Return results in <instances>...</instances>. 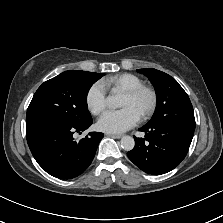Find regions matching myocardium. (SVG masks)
Segmentation results:
<instances>
[{
    "label": "myocardium",
    "mask_w": 223,
    "mask_h": 223,
    "mask_svg": "<svg viewBox=\"0 0 223 223\" xmlns=\"http://www.w3.org/2000/svg\"><path fill=\"white\" fill-rule=\"evenodd\" d=\"M124 95H126L129 98L135 99L142 95H147L149 97V105L148 107L141 113V118H146L150 115H152L156 109L157 106V95L156 92L145 85H142L140 87H137L131 91L125 92Z\"/></svg>",
    "instance_id": "myocardium-1"
}]
</instances>
